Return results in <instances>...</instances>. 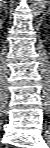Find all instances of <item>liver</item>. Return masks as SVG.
<instances>
[{
  "mask_svg": "<svg viewBox=\"0 0 50 148\" xmlns=\"http://www.w3.org/2000/svg\"><path fill=\"white\" fill-rule=\"evenodd\" d=\"M4 0H1V4H3Z\"/></svg>",
  "mask_w": 50,
  "mask_h": 148,
  "instance_id": "liver-1",
  "label": "liver"
}]
</instances>
